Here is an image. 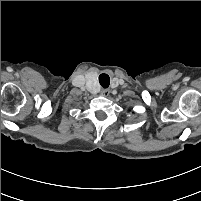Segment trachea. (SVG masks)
Instances as JSON below:
<instances>
[{
  "instance_id": "1",
  "label": "trachea",
  "mask_w": 201,
  "mask_h": 201,
  "mask_svg": "<svg viewBox=\"0 0 201 201\" xmlns=\"http://www.w3.org/2000/svg\"><path fill=\"white\" fill-rule=\"evenodd\" d=\"M99 82L103 88H107L110 84V78L107 74H101L99 76Z\"/></svg>"
}]
</instances>
